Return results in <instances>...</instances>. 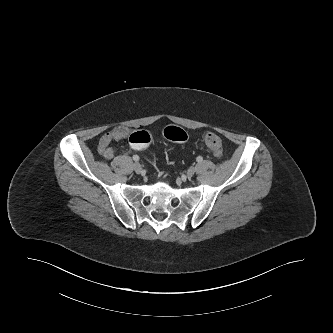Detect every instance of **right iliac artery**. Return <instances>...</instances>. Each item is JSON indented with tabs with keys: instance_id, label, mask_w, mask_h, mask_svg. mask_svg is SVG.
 I'll use <instances>...</instances> for the list:
<instances>
[{
	"instance_id": "obj_1",
	"label": "right iliac artery",
	"mask_w": 333,
	"mask_h": 333,
	"mask_svg": "<svg viewBox=\"0 0 333 333\" xmlns=\"http://www.w3.org/2000/svg\"><path fill=\"white\" fill-rule=\"evenodd\" d=\"M139 159H140V158H139L138 155H133V160H134V161H139Z\"/></svg>"
}]
</instances>
